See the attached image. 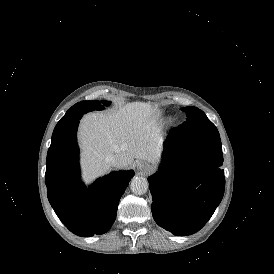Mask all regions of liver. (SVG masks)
I'll use <instances>...</instances> for the list:
<instances>
[{
	"label": "liver",
	"instance_id": "1",
	"mask_svg": "<svg viewBox=\"0 0 274 274\" xmlns=\"http://www.w3.org/2000/svg\"><path fill=\"white\" fill-rule=\"evenodd\" d=\"M159 115L157 107L145 102L84 115L78 131L84 181L89 183L111 169L105 161L108 155L118 157L121 165L117 168L134 165V159L156 164L161 149L155 144L162 138L156 122Z\"/></svg>",
	"mask_w": 274,
	"mask_h": 274
}]
</instances>
